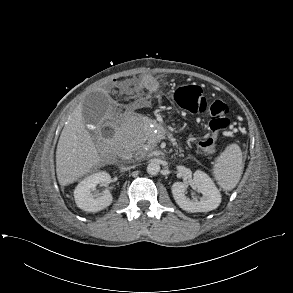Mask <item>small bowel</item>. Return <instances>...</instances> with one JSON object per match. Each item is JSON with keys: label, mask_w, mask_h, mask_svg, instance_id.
Instances as JSON below:
<instances>
[{"label": "small bowel", "mask_w": 293, "mask_h": 293, "mask_svg": "<svg viewBox=\"0 0 293 293\" xmlns=\"http://www.w3.org/2000/svg\"><path fill=\"white\" fill-rule=\"evenodd\" d=\"M136 82L133 81V84ZM139 86L148 94H153L158 89V81L151 75L145 74L139 78ZM142 99L139 100L141 102ZM136 106V105H134Z\"/></svg>", "instance_id": "c3829d8e"}]
</instances>
